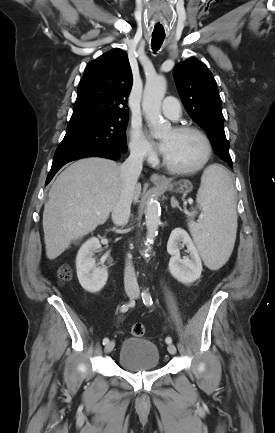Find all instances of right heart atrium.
I'll use <instances>...</instances> for the list:
<instances>
[{
	"label": "right heart atrium",
	"instance_id": "right-heart-atrium-1",
	"mask_svg": "<svg viewBox=\"0 0 275 433\" xmlns=\"http://www.w3.org/2000/svg\"><path fill=\"white\" fill-rule=\"evenodd\" d=\"M130 152L139 160H150L154 157V148L140 125L134 124L130 129Z\"/></svg>",
	"mask_w": 275,
	"mask_h": 433
}]
</instances>
